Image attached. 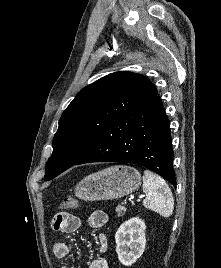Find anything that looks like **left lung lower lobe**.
Returning a JSON list of instances; mask_svg holds the SVG:
<instances>
[{"label":"left lung lower lobe","mask_w":221,"mask_h":268,"mask_svg":"<svg viewBox=\"0 0 221 268\" xmlns=\"http://www.w3.org/2000/svg\"><path fill=\"white\" fill-rule=\"evenodd\" d=\"M171 142L169 119L156 95L111 123L74 165L134 163L155 171L176 187Z\"/></svg>","instance_id":"obj_1"}]
</instances>
